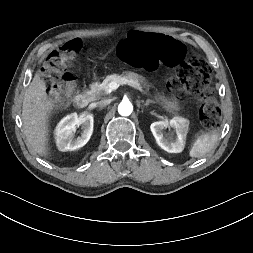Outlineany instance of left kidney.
Returning a JSON list of instances; mask_svg holds the SVG:
<instances>
[{
    "instance_id": "5707ae66",
    "label": "left kidney",
    "mask_w": 253,
    "mask_h": 253,
    "mask_svg": "<svg viewBox=\"0 0 253 253\" xmlns=\"http://www.w3.org/2000/svg\"><path fill=\"white\" fill-rule=\"evenodd\" d=\"M189 121L185 118L174 117L170 121H158L151 124L150 129L157 144L169 153H180L184 149ZM166 128H172L169 135H164Z\"/></svg>"
}]
</instances>
